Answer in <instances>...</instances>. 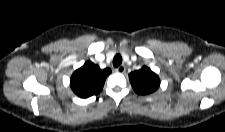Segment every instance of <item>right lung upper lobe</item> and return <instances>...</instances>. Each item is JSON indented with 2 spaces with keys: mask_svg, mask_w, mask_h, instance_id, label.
Instances as JSON below:
<instances>
[{
  "mask_svg": "<svg viewBox=\"0 0 225 132\" xmlns=\"http://www.w3.org/2000/svg\"><path fill=\"white\" fill-rule=\"evenodd\" d=\"M110 73L109 68L101 70L98 65L87 61L71 76V89L81 98L99 94L102 91L106 77Z\"/></svg>",
  "mask_w": 225,
  "mask_h": 132,
  "instance_id": "right-lung-upper-lobe-1",
  "label": "right lung upper lobe"
}]
</instances>
